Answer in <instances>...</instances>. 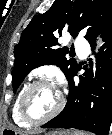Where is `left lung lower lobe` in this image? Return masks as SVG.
I'll list each match as a JSON object with an SVG mask.
<instances>
[{
	"label": "left lung lower lobe",
	"instance_id": "1",
	"mask_svg": "<svg viewBox=\"0 0 112 135\" xmlns=\"http://www.w3.org/2000/svg\"><path fill=\"white\" fill-rule=\"evenodd\" d=\"M101 37L104 44L96 55L95 71L90 68L75 84L76 69L68 79L70 92L65 108L42 128H75L108 135L112 121V21ZM95 41L90 42L92 49Z\"/></svg>",
	"mask_w": 112,
	"mask_h": 135
}]
</instances>
